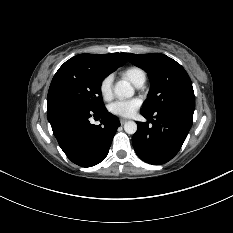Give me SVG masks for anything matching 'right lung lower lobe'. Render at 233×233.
<instances>
[{
  "instance_id": "98d812e1",
  "label": "right lung lower lobe",
  "mask_w": 233,
  "mask_h": 233,
  "mask_svg": "<svg viewBox=\"0 0 233 233\" xmlns=\"http://www.w3.org/2000/svg\"><path fill=\"white\" fill-rule=\"evenodd\" d=\"M47 116L63 152L82 167H91L104 160L120 126L118 118L106 108L92 111L74 104L57 103L47 105ZM91 116H100L101 124L92 125Z\"/></svg>"
}]
</instances>
